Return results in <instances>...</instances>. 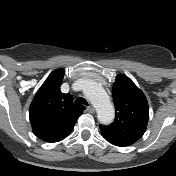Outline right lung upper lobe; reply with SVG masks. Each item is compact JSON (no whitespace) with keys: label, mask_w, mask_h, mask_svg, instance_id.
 Returning a JSON list of instances; mask_svg holds the SVG:
<instances>
[{"label":"right lung upper lobe","mask_w":176,"mask_h":176,"mask_svg":"<svg viewBox=\"0 0 176 176\" xmlns=\"http://www.w3.org/2000/svg\"><path fill=\"white\" fill-rule=\"evenodd\" d=\"M64 70L53 71L36 93L29 109L34 134L47 142H58L67 137L85 109L74 105L71 94L60 90Z\"/></svg>","instance_id":"right-lung-upper-lobe-1"}]
</instances>
